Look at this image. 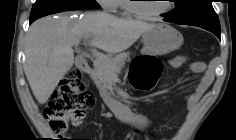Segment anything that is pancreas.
Segmentation results:
<instances>
[{"label":"pancreas","mask_w":236,"mask_h":140,"mask_svg":"<svg viewBox=\"0 0 236 140\" xmlns=\"http://www.w3.org/2000/svg\"><path fill=\"white\" fill-rule=\"evenodd\" d=\"M128 59L129 55L123 53L112 59L95 61L91 78L94 80L97 87L102 91H109L108 93L113 95L112 77L120 73Z\"/></svg>","instance_id":"obj_1"}]
</instances>
